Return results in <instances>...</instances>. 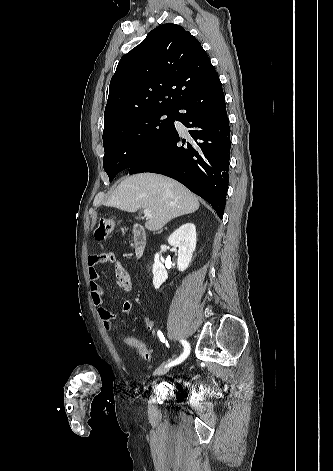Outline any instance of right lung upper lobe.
<instances>
[{
  "mask_svg": "<svg viewBox=\"0 0 333 471\" xmlns=\"http://www.w3.org/2000/svg\"><path fill=\"white\" fill-rule=\"evenodd\" d=\"M217 75L190 32L172 23L160 25L119 61L110 81L104 130L139 112H175Z\"/></svg>",
  "mask_w": 333,
  "mask_h": 471,
  "instance_id": "cb5924a9",
  "label": "right lung upper lobe"
}]
</instances>
